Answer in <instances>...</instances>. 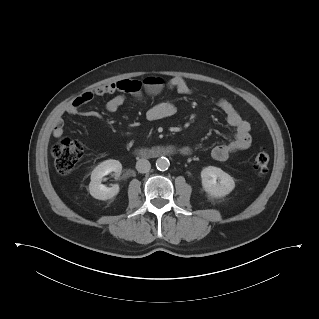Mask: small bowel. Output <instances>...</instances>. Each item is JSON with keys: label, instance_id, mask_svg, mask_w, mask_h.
<instances>
[{"label": "small bowel", "instance_id": "small-bowel-1", "mask_svg": "<svg viewBox=\"0 0 319 319\" xmlns=\"http://www.w3.org/2000/svg\"><path fill=\"white\" fill-rule=\"evenodd\" d=\"M129 80H121L109 83L93 90H88L74 98L66 106L65 112L69 115H83L87 117L102 118V116L94 111H83V107L88 104L94 96L115 94L107 103L106 110L109 113L118 111L127 101L126 85ZM168 88L176 90L182 95H192L194 93L191 86L182 77H173L168 82ZM140 94L134 95L139 97ZM216 107L224 114L226 122L234 129V137L230 142L215 146L211 150L213 159L217 161H226L234 156L237 152L248 149L252 144L251 125L243 119L236 108L227 99H218L215 102ZM176 107L169 101H160L150 106L145 113L147 120L159 121L174 115ZM53 136L60 138L64 134V127L59 122L53 129ZM182 152L187 154L190 152L188 147H183Z\"/></svg>", "mask_w": 319, "mask_h": 319}]
</instances>
